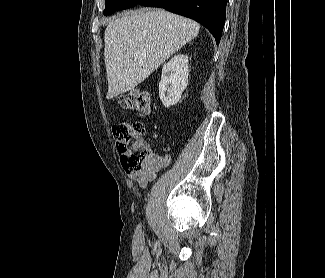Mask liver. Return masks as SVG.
I'll list each match as a JSON object with an SVG mask.
<instances>
[{
	"label": "liver",
	"mask_w": 325,
	"mask_h": 278,
	"mask_svg": "<svg viewBox=\"0 0 325 278\" xmlns=\"http://www.w3.org/2000/svg\"><path fill=\"white\" fill-rule=\"evenodd\" d=\"M197 22L163 9H139L110 22L104 34L107 99L133 90L199 33Z\"/></svg>",
	"instance_id": "6515ba94"
}]
</instances>
